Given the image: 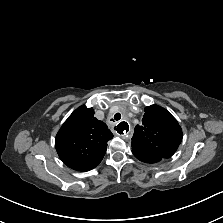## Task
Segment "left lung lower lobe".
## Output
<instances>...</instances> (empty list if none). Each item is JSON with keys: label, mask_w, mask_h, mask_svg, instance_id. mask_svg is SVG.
Wrapping results in <instances>:
<instances>
[{"label": "left lung lower lobe", "mask_w": 223, "mask_h": 223, "mask_svg": "<svg viewBox=\"0 0 223 223\" xmlns=\"http://www.w3.org/2000/svg\"><path fill=\"white\" fill-rule=\"evenodd\" d=\"M134 156L142 161V162H145V163H156L160 160H162L161 158L159 157H155V156H150V155H146V154H143V153H140V152H137V151H132Z\"/></svg>", "instance_id": "left-lung-lower-lobe-1"}]
</instances>
